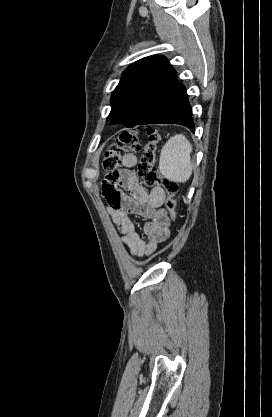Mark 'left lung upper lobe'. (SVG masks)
<instances>
[{
  "label": "left lung upper lobe",
  "mask_w": 272,
  "mask_h": 417,
  "mask_svg": "<svg viewBox=\"0 0 272 417\" xmlns=\"http://www.w3.org/2000/svg\"><path fill=\"white\" fill-rule=\"evenodd\" d=\"M176 71L160 55L145 57L128 66L111 96L108 116L112 124L141 125L177 85Z\"/></svg>",
  "instance_id": "1"
}]
</instances>
